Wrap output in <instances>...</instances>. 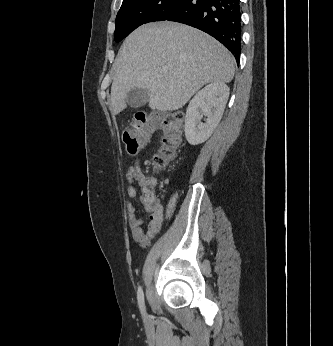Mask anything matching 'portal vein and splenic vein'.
<instances>
[{"instance_id":"obj_1","label":"portal vein and splenic vein","mask_w":333,"mask_h":346,"mask_svg":"<svg viewBox=\"0 0 333 346\" xmlns=\"http://www.w3.org/2000/svg\"><path fill=\"white\" fill-rule=\"evenodd\" d=\"M161 72H162L163 74H167L168 69H167V68H161Z\"/></svg>"}]
</instances>
